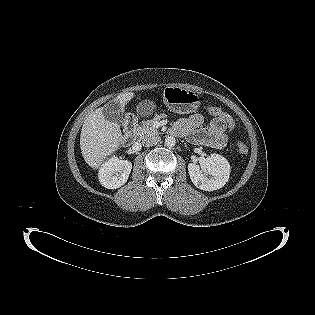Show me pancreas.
Here are the masks:
<instances>
[{
	"mask_svg": "<svg viewBox=\"0 0 315 315\" xmlns=\"http://www.w3.org/2000/svg\"><path fill=\"white\" fill-rule=\"evenodd\" d=\"M160 118H155L153 120L143 121L134 129V135L139 139H143L150 134H158L157 129L154 127L155 120Z\"/></svg>",
	"mask_w": 315,
	"mask_h": 315,
	"instance_id": "obj_1",
	"label": "pancreas"
}]
</instances>
